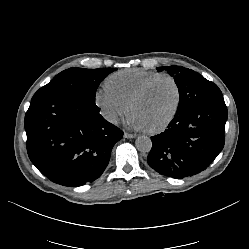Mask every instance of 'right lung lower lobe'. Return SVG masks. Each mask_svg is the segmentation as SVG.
Here are the masks:
<instances>
[{"label": "right lung lower lobe", "mask_w": 249, "mask_h": 249, "mask_svg": "<svg viewBox=\"0 0 249 249\" xmlns=\"http://www.w3.org/2000/svg\"><path fill=\"white\" fill-rule=\"evenodd\" d=\"M99 111L70 95L31 101L25 115L27 151L48 179L76 187L101 176L123 131Z\"/></svg>", "instance_id": "98d812e1"}]
</instances>
